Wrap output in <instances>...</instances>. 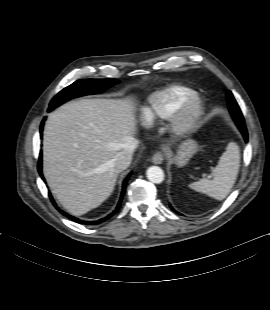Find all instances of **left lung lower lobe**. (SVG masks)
I'll use <instances>...</instances> for the list:
<instances>
[{
    "label": "left lung lower lobe",
    "mask_w": 270,
    "mask_h": 310,
    "mask_svg": "<svg viewBox=\"0 0 270 310\" xmlns=\"http://www.w3.org/2000/svg\"><path fill=\"white\" fill-rule=\"evenodd\" d=\"M242 132V134H243V136H244V139H245V141H247V139H248V135H247V130H244V131H241ZM172 208V207H171ZM173 209V208H172Z\"/></svg>",
    "instance_id": "obj_1"
}]
</instances>
